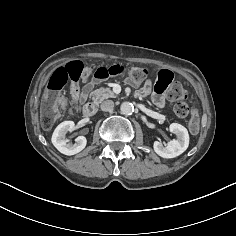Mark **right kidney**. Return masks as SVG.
I'll list each match as a JSON object with an SVG mask.
<instances>
[{
  "mask_svg": "<svg viewBox=\"0 0 236 236\" xmlns=\"http://www.w3.org/2000/svg\"><path fill=\"white\" fill-rule=\"evenodd\" d=\"M73 130H75V123L73 121H64L53 132L51 141L62 154L74 155L82 151L86 146L87 140L84 136L77 137L74 144L65 139V135Z\"/></svg>",
  "mask_w": 236,
  "mask_h": 236,
  "instance_id": "ca27d5eb",
  "label": "right kidney"
}]
</instances>
